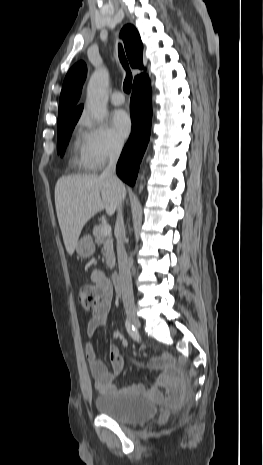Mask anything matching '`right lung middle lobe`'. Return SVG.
Returning <instances> with one entry per match:
<instances>
[{
    "label": "right lung middle lobe",
    "instance_id": "obj_1",
    "mask_svg": "<svg viewBox=\"0 0 263 465\" xmlns=\"http://www.w3.org/2000/svg\"><path fill=\"white\" fill-rule=\"evenodd\" d=\"M81 115V112L75 113L72 116L58 122V140L57 152L62 156L69 142L71 133Z\"/></svg>",
    "mask_w": 263,
    "mask_h": 465
}]
</instances>
